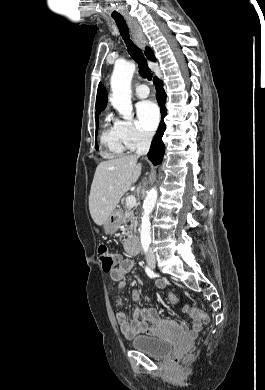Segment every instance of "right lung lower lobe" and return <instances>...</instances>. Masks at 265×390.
Instances as JSON below:
<instances>
[{"instance_id":"98d812e1","label":"right lung lower lobe","mask_w":265,"mask_h":390,"mask_svg":"<svg viewBox=\"0 0 265 390\" xmlns=\"http://www.w3.org/2000/svg\"><path fill=\"white\" fill-rule=\"evenodd\" d=\"M154 83L157 91V101L159 103V106L161 108V122L158 127V130L156 132V135L154 136L150 150L147 154L148 159L154 164L158 165L161 163L165 151V146L162 141V136L164 134V131L166 129L165 123L163 121V118L167 114V110L165 108V102H166V94L163 89L162 82L158 78H154Z\"/></svg>"}]
</instances>
